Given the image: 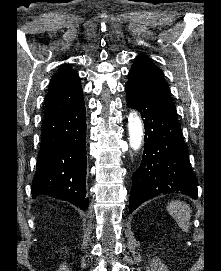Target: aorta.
<instances>
[{"mask_svg":"<svg viewBox=\"0 0 221 271\" xmlns=\"http://www.w3.org/2000/svg\"><path fill=\"white\" fill-rule=\"evenodd\" d=\"M128 132L130 147L134 151L139 150L143 140V123L136 111H132L128 117Z\"/></svg>","mask_w":221,"mask_h":271,"instance_id":"762f6f07","label":"aorta"}]
</instances>
